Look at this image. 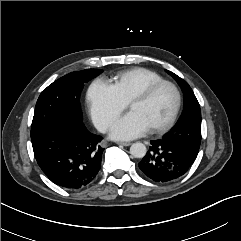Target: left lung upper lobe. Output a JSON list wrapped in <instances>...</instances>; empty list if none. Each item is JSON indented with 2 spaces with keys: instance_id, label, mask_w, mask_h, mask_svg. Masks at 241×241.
<instances>
[{
  "instance_id": "1",
  "label": "left lung upper lobe",
  "mask_w": 241,
  "mask_h": 241,
  "mask_svg": "<svg viewBox=\"0 0 241 241\" xmlns=\"http://www.w3.org/2000/svg\"><path fill=\"white\" fill-rule=\"evenodd\" d=\"M181 86L184 94V112L178 124L163 139L175 142L197 157L201 143V111L199 103L186 81L167 71Z\"/></svg>"
}]
</instances>
